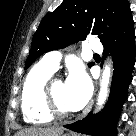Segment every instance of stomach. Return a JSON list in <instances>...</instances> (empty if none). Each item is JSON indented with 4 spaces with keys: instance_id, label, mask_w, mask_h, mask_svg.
Instances as JSON below:
<instances>
[{
    "instance_id": "0dacf381",
    "label": "stomach",
    "mask_w": 136,
    "mask_h": 136,
    "mask_svg": "<svg viewBox=\"0 0 136 136\" xmlns=\"http://www.w3.org/2000/svg\"><path fill=\"white\" fill-rule=\"evenodd\" d=\"M56 136H69V135H63L62 132H61V133H59V134L56 135Z\"/></svg>"
}]
</instances>
